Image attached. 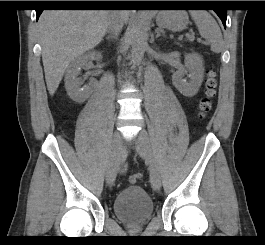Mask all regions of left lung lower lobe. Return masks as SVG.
Wrapping results in <instances>:
<instances>
[{"label":"left lung lower lobe","mask_w":265,"mask_h":245,"mask_svg":"<svg viewBox=\"0 0 265 245\" xmlns=\"http://www.w3.org/2000/svg\"><path fill=\"white\" fill-rule=\"evenodd\" d=\"M180 1H164L162 2L165 5H169V6H179ZM183 3H181L182 5H193V6H197L199 5L200 1H182ZM216 12V14L220 17V19L222 20L224 26L226 27V18H227V9H216L214 10Z\"/></svg>","instance_id":"0a47b994"}]
</instances>
